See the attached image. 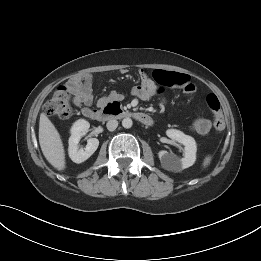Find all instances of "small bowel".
<instances>
[{
    "mask_svg": "<svg viewBox=\"0 0 261 261\" xmlns=\"http://www.w3.org/2000/svg\"><path fill=\"white\" fill-rule=\"evenodd\" d=\"M140 78L141 83L134 87L132 93L141 100H148L159 94L161 92L160 86L178 87L188 95L193 94L197 88L189 76L177 72L156 70L151 77L149 72L143 69L140 71ZM92 83L93 75L91 73L73 77L67 82V89L73 96V102L82 109L85 116L92 110L89 107L93 102ZM113 97L120 98L119 95ZM105 100V98L102 99V101ZM210 128L211 124L206 119H197L192 124L193 131L199 135L207 134Z\"/></svg>",
    "mask_w": 261,
    "mask_h": 261,
    "instance_id": "small-bowel-1",
    "label": "small bowel"
}]
</instances>
